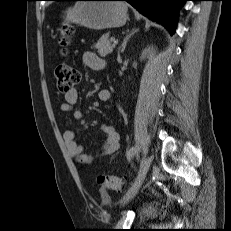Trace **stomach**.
<instances>
[{
	"label": "stomach",
	"mask_w": 231,
	"mask_h": 231,
	"mask_svg": "<svg viewBox=\"0 0 231 231\" xmlns=\"http://www.w3.org/2000/svg\"><path fill=\"white\" fill-rule=\"evenodd\" d=\"M127 6L116 0H82L65 11L64 25L77 24L93 30L123 26Z\"/></svg>",
	"instance_id": "stomach-1"
}]
</instances>
